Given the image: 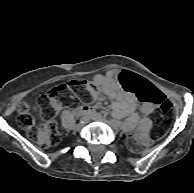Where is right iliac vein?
<instances>
[{
    "label": "right iliac vein",
    "mask_w": 194,
    "mask_h": 193,
    "mask_svg": "<svg viewBox=\"0 0 194 193\" xmlns=\"http://www.w3.org/2000/svg\"><path fill=\"white\" fill-rule=\"evenodd\" d=\"M85 123H86V120L84 122L78 123L75 128L77 130H81L84 127Z\"/></svg>",
    "instance_id": "1"
}]
</instances>
